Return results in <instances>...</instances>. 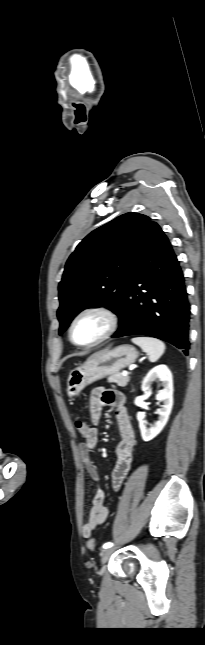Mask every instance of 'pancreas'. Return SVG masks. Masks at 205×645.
<instances>
[{
	"instance_id": "cf45deb5",
	"label": "pancreas",
	"mask_w": 205,
	"mask_h": 645,
	"mask_svg": "<svg viewBox=\"0 0 205 645\" xmlns=\"http://www.w3.org/2000/svg\"><path fill=\"white\" fill-rule=\"evenodd\" d=\"M130 378L128 376H123L122 373H116L108 378V382L110 383H116L120 387H125L127 386Z\"/></svg>"
}]
</instances>
